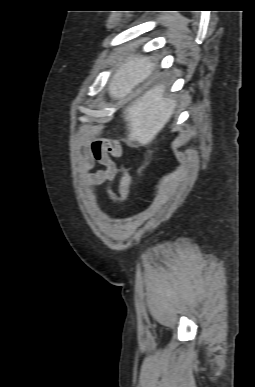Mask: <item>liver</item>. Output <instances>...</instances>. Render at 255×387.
I'll use <instances>...</instances> for the list:
<instances>
[{
	"instance_id": "1",
	"label": "liver",
	"mask_w": 255,
	"mask_h": 387,
	"mask_svg": "<svg viewBox=\"0 0 255 387\" xmlns=\"http://www.w3.org/2000/svg\"><path fill=\"white\" fill-rule=\"evenodd\" d=\"M154 70L149 57L131 56L116 70L109 84V94L116 100H123ZM176 101L165 95V85H156L128 105L123 112L127 122L130 142L150 144L169 122L176 108Z\"/></svg>"
}]
</instances>
